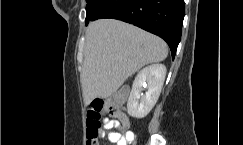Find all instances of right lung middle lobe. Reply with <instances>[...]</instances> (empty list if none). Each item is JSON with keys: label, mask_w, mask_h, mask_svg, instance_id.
<instances>
[{"label": "right lung middle lobe", "mask_w": 243, "mask_h": 145, "mask_svg": "<svg viewBox=\"0 0 243 145\" xmlns=\"http://www.w3.org/2000/svg\"><path fill=\"white\" fill-rule=\"evenodd\" d=\"M86 1H87V6L86 7H88L93 2V0H86Z\"/></svg>", "instance_id": "right-lung-middle-lobe-1"}]
</instances>
